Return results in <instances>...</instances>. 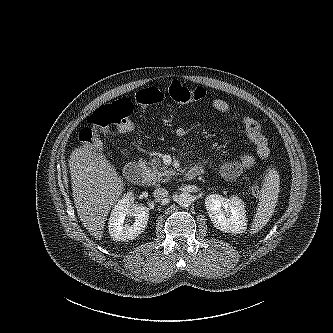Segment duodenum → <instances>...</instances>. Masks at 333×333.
Returning a JSON list of instances; mask_svg holds the SVG:
<instances>
[{
    "instance_id": "obj_1",
    "label": "duodenum",
    "mask_w": 333,
    "mask_h": 333,
    "mask_svg": "<svg viewBox=\"0 0 333 333\" xmlns=\"http://www.w3.org/2000/svg\"><path fill=\"white\" fill-rule=\"evenodd\" d=\"M202 171L200 167H191L185 172L184 178L186 180H194L202 174ZM124 176L128 181L134 184H142L145 181L144 168L138 162L127 163L124 167Z\"/></svg>"
}]
</instances>
